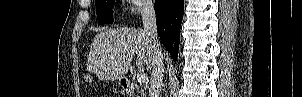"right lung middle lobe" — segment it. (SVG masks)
<instances>
[{
    "instance_id": "dd1d6c3e",
    "label": "right lung middle lobe",
    "mask_w": 302,
    "mask_h": 97,
    "mask_svg": "<svg viewBox=\"0 0 302 97\" xmlns=\"http://www.w3.org/2000/svg\"><path fill=\"white\" fill-rule=\"evenodd\" d=\"M115 0H95L96 14L102 24H112V6Z\"/></svg>"
}]
</instances>
